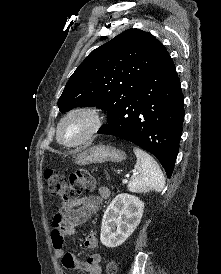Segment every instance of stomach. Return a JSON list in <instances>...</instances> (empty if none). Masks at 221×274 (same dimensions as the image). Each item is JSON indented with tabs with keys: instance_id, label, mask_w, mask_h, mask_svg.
Listing matches in <instances>:
<instances>
[{
	"instance_id": "1",
	"label": "stomach",
	"mask_w": 221,
	"mask_h": 274,
	"mask_svg": "<svg viewBox=\"0 0 221 274\" xmlns=\"http://www.w3.org/2000/svg\"><path fill=\"white\" fill-rule=\"evenodd\" d=\"M125 159L124 152L107 145L92 146L75 156V162L80 165L103 163L107 161L121 162Z\"/></svg>"
}]
</instances>
